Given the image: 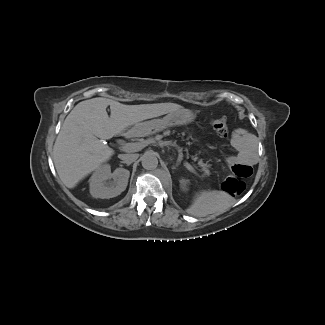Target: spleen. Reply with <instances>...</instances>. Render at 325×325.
Wrapping results in <instances>:
<instances>
[{"mask_svg":"<svg viewBox=\"0 0 325 325\" xmlns=\"http://www.w3.org/2000/svg\"><path fill=\"white\" fill-rule=\"evenodd\" d=\"M231 204V197L222 191H201L196 194L187 212L191 215L202 217L217 212H223L227 210Z\"/></svg>","mask_w":325,"mask_h":325,"instance_id":"3e777b00","label":"spleen"}]
</instances>
